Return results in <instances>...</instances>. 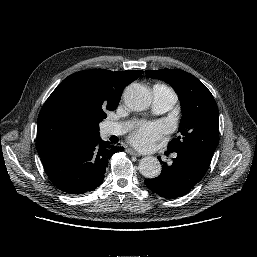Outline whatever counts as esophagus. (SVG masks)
<instances>
[{
	"label": "esophagus",
	"mask_w": 257,
	"mask_h": 257,
	"mask_svg": "<svg viewBox=\"0 0 257 257\" xmlns=\"http://www.w3.org/2000/svg\"><path fill=\"white\" fill-rule=\"evenodd\" d=\"M127 153L128 154H130V155H133V156H141V154L140 153H138L137 151H135L134 149H132V148H128L127 149Z\"/></svg>",
	"instance_id": "34e87169"
}]
</instances>
